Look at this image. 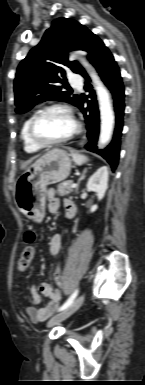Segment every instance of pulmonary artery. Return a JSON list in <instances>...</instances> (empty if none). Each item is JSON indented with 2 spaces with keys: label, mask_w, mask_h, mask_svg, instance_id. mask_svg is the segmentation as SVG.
Returning <instances> with one entry per match:
<instances>
[{
  "label": "pulmonary artery",
  "mask_w": 145,
  "mask_h": 385,
  "mask_svg": "<svg viewBox=\"0 0 145 385\" xmlns=\"http://www.w3.org/2000/svg\"><path fill=\"white\" fill-rule=\"evenodd\" d=\"M70 84L76 88H81V84H82V81H81V78L77 75H73L70 77V80H69Z\"/></svg>",
  "instance_id": "obj_1"
}]
</instances>
